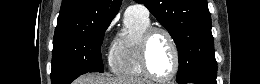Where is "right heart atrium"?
Listing matches in <instances>:
<instances>
[{
	"mask_svg": "<svg viewBox=\"0 0 260 84\" xmlns=\"http://www.w3.org/2000/svg\"><path fill=\"white\" fill-rule=\"evenodd\" d=\"M114 26V21H112L107 27L106 32H108Z\"/></svg>",
	"mask_w": 260,
	"mask_h": 84,
	"instance_id": "1",
	"label": "right heart atrium"
}]
</instances>
